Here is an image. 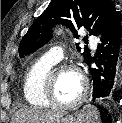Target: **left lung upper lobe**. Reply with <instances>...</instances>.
Listing matches in <instances>:
<instances>
[{
  "label": "left lung upper lobe",
  "mask_w": 122,
  "mask_h": 123,
  "mask_svg": "<svg viewBox=\"0 0 122 123\" xmlns=\"http://www.w3.org/2000/svg\"><path fill=\"white\" fill-rule=\"evenodd\" d=\"M116 13L110 0H52L23 37L19 45L20 56L28 55L47 43L56 24L67 26L76 38V29L80 28L88 29L90 35L99 36ZM82 55L87 64L91 58L90 50L86 49Z\"/></svg>",
  "instance_id": "left-lung-upper-lobe-1"
}]
</instances>
